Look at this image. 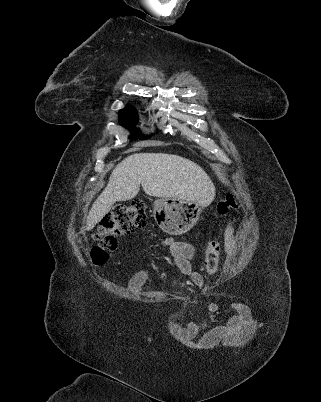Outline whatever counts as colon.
I'll return each instance as SVG.
<instances>
[{"label": "colon", "mask_w": 321, "mask_h": 402, "mask_svg": "<svg viewBox=\"0 0 321 402\" xmlns=\"http://www.w3.org/2000/svg\"><path fill=\"white\" fill-rule=\"evenodd\" d=\"M236 207V199L228 195L216 204V212L220 217L226 216L231 209ZM147 226V214L145 205L141 201L129 205L115 207L105 217L95 234V244L91 248L92 262L96 265L105 264L112 252L117 248V237L141 230ZM221 246L218 241L211 240L206 244L204 253V265L208 275L214 274L220 264Z\"/></svg>", "instance_id": "1"}]
</instances>
